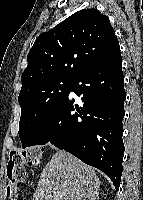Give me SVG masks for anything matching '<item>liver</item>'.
<instances>
[{
    "instance_id": "1",
    "label": "liver",
    "mask_w": 143,
    "mask_h": 200,
    "mask_svg": "<svg viewBox=\"0 0 143 200\" xmlns=\"http://www.w3.org/2000/svg\"><path fill=\"white\" fill-rule=\"evenodd\" d=\"M100 185L94 168L60 150L44 167L33 200H96Z\"/></svg>"
}]
</instances>
